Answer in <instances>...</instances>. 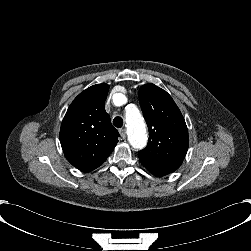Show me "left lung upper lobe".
<instances>
[{
  "mask_svg": "<svg viewBox=\"0 0 251 251\" xmlns=\"http://www.w3.org/2000/svg\"><path fill=\"white\" fill-rule=\"evenodd\" d=\"M139 102L149 129L148 145L139 151V159L158 169L174 172L188 150L185 120L172 97L154 84L139 89Z\"/></svg>",
  "mask_w": 251,
  "mask_h": 251,
  "instance_id": "obj_1",
  "label": "left lung upper lobe"
}]
</instances>
